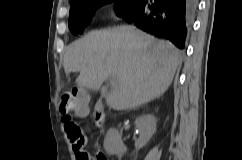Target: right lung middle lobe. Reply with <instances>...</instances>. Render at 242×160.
I'll return each mask as SVG.
<instances>
[{
    "label": "right lung middle lobe",
    "instance_id": "right-lung-middle-lobe-1",
    "mask_svg": "<svg viewBox=\"0 0 242 160\" xmlns=\"http://www.w3.org/2000/svg\"><path fill=\"white\" fill-rule=\"evenodd\" d=\"M139 0H81L70 5L69 29L74 34H81L90 22L94 12L106 3H115L118 16H123Z\"/></svg>",
    "mask_w": 242,
    "mask_h": 160
}]
</instances>
